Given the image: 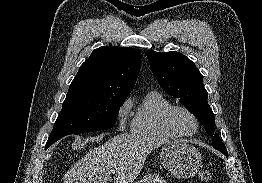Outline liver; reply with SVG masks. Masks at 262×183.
Segmentation results:
<instances>
[{
    "instance_id": "1",
    "label": "liver",
    "mask_w": 262,
    "mask_h": 183,
    "mask_svg": "<svg viewBox=\"0 0 262 183\" xmlns=\"http://www.w3.org/2000/svg\"><path fill=\"white\" fill-rule=\"evenodd\" d=\"M167 140L140 134H120L94 148L67 171L64 183H133L147 155Z\"/></svg>"
}]
</instances>
